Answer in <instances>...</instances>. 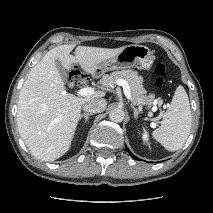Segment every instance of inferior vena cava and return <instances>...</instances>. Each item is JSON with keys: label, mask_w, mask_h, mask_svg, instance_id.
I'll use <instances>...</instances> for the list:
<instances>
[{"label": "inferior vena cava", "mask_w": 213, "mask_h": 213, "mask_svg": "<svg viewBox=\"0 0 213 213\" xmlns=\"http://www.w3.org/2000/svg\"><path fill=\"white\" fill-rule=\"evenodd\" d=\"M107 102L105 99H94L84 103L83 110L88 113H100L106 108Z\"/></svg>", "instance_id": "obj_1"}]
</instances>
